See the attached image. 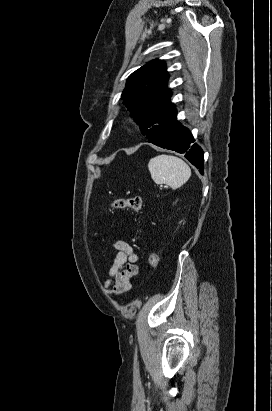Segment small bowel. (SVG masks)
Wrapping results in <instances>:
<instances>
[{
	"label": "small bowel",
	"mask_w": 272,
	"mask_h": 411,
	"mask_svg": "<svg viewBox=\"0 0 272 411\" xmlns=\"http://www.w3.org/2000/svg\"><path fill=\"white\" fill-rule=\"evenodd\" d=\"M112 247L116 250V256L108 272L106 288L110 295L123 297L130 291L132 280L139 273V255L122 240L113 242Z\"/></svg>",
	"instance_id": "1"
}]
</instances>
